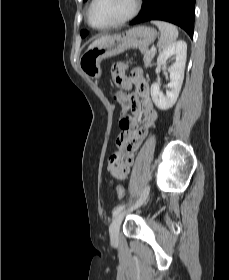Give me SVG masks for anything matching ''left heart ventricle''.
<instances>
[{
  "mask_svg": "<svg viewBox=\"0 0 229 280\" xmlns=\"http://www.w3.org/2000/svg\"><path fill=\"white\" fill-rule=\"evenodd\" d=\"M133 0H97L91 13V21L96 26L115 22L128 15Z\"/></svg>",
  "mask_w": 229,
  "mask_h": 280,
  "instance_id": "b2bd125f",
  "label": "left heart ventricle"
}]
</instances>
